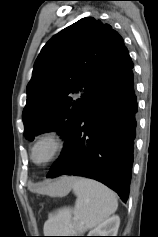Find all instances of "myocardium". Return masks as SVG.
Masks as SVG:
<instances>
[{
    "mask_svg": "<svg viewBox=\"0 0 158 237\" xmlns=\"http://www.w3.org/2000/svg\"><path fill=\"white\" fill-rule=\"evenodd\" d=\"M43 141H49L52 144L53 149H52L51 154L48 156V158H46L43 161L38 162L34 158V153L38 144H40ZM64 148H65V142L63 138L61 137V135L53 131L44 132L35 138L31 146V149H30L31 162L36 166L47 165L50 162L54 161L63 152Z\"/></svg>",
    "mask_w": 158,
    "mask_h": 237,
    "instance_id": "f54148a6",
    "label": "myocardium"
}]
</instances>
